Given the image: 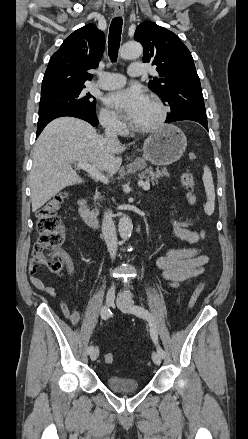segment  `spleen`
Segmentation results:
<instances>
[{
  "mask_svg": "<svg viewBox=\"0 0 248 439\" xmlns=\"http://www.w3.org/2000/svg\"><path fill=\"white\" fill-rule=\"evenodd\" d=\"M202 179L207 196V203L205 204L204 208L207 213L211 214L214 211V207H215V189L213 184L212 173L209 167L206 165L204 166V173Z\"/></svg>",
  "mask_w": 248,
  "mask_h": 439,
  "instance_id": "1",
  "label": "spleen"
}]
</instances>
